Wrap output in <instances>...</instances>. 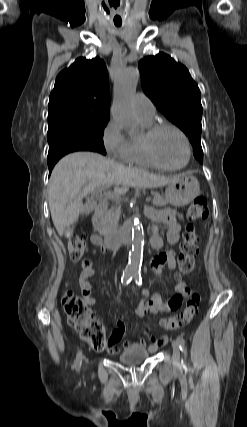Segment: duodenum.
<instances>
[{"instance_id": "1", "label": "duodenum", "mask_w": 247, "mask_h": 427, "mask_svg": "<svg viewBox=\"0 0 247 427\" xmlns=\"http://www.w3.org/2000/svg\"><path fill=\"white\" fill-rule=\"evenodd\" d=\"M107 209L106 204L100 203L94 210V217H101ZM132 224L126 223L120 232L107 235L104 238V246L108 250H117L131 240Z\"/></svg>"}]
</instances>
